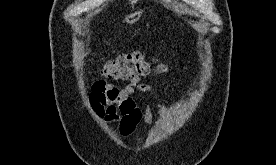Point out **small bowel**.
I'll return each instance as SVG.
<instances>
[{"mask_svg": "<svg viewBox=\"0 0 276 165\" xmlns=\"http://www.w3.org/2000/svg\"><path fill=\"white\" fill-rule=\"evenodd\" d=\"M169 71L166 64H158L153 73L165 74ZM146 92L159 98L156 89L140 78L130 80L123 87H117L99 80L93 83L89 102L93 111L109 124H117L122 136H130L142 122L145 126L151 125L153 111L147 103H138L135 99L136 92ZM159 112L163 105L159 103Z\"/></svg>", "mask_w": 276, "mask_h": 165, "instance_id": "1", "label": "small bowel"}]
</instances>
